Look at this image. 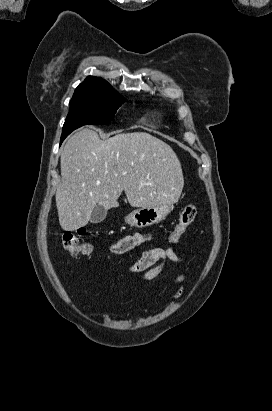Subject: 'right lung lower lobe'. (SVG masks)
I'll return each instance as SVG.
<instances>
[{
  "label": "right lung lower lobe",
  "instance_id": "98d812e1",
  "mask_svg": "<svg viewBox=\"0 0 272 411\" xmlns=\"http://www.w3.org/2000/svg\"><path fill=\"white\" fill-rule=\"evenodd\" d=\"M65 139V137H61V143H62V141Z\"/></svg>",
  "mask_w": 272,
  "mask_h": 411
}]
</instances>
